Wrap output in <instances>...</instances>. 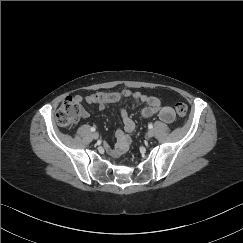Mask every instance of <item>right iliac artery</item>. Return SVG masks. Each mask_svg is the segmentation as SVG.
<instances>
[{"instance_id": "1", "label": "right iliac artery", "mask_w": 243, "mask_h": 243, "mask_svg": "<svg viewBox=\"0 0 243 243\" xmlns=\"http://www.w3.org/2000/svg\"><path fill=\"white\" fill-rule=\"evenodd\" d=\"M92 132H95L96 131V128L95 127H91L90 129Z\"/></svg>"}]
</instances>
